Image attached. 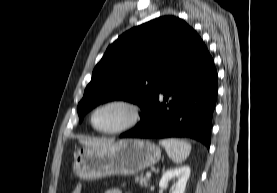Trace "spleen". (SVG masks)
Instances as JSON below:
<instances>
[{
	"label": "spleen",
	"instance_id": "obj_1",
	"mask_svg": "<svg viewBox=\"0 0 277 193\" xmlns=\"http://www.w3.org/2000/svg\"><path fill=\"white\" fill-rule=\"evenodd\" d=\"M159 144L165 148L168 156L177 164L186 160L191 151V145L180 139H162Z\"/></svg>",
	"mask_w": 277,
	"mask_h": 193
}]
</instances>
